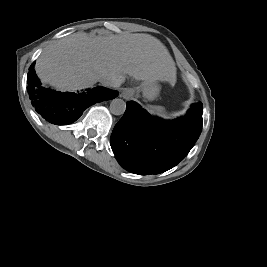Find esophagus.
I'll list each match as a JSON object with an SVG mask.
<instances>
[{
	"label": "esophagus",
	"mask_w": 267,
	"mask_h": 267,
	"mask_svg": "<svg viewBox=\"0 0 267 267\" xmlns=\"http://www.w3.org/2000/svg\"><path fill=\"white\" fill-rule=\"evenodd\" d=\"M133 95H134V92L132 89H125L122 91V97L124 99H130L133 97Z\"/></svg>",
	"instance_id": "34e87169"
}]
</instances>
